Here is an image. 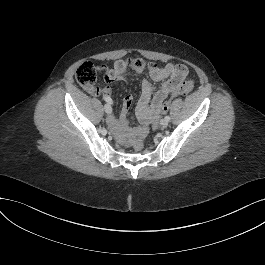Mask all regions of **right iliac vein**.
Segmentation results:
<instances>
[{
	"label": "right iliac vein",
	"mask_w": 265,
	"mask_h": 265,
	"mask_svg": "<svg viewBox=\"0 0 265 265\" xmlns=\"http://www.w3.org/2000/svg\"><path fill=\"white\" fill-rule=\"evenodd\" d=\"M104 110L105 112L109 115L112 113V109H111V106L109 104H105L104 105Z\"/></svg>",
	"instance_id": "obj_1"
}]
</instances>
